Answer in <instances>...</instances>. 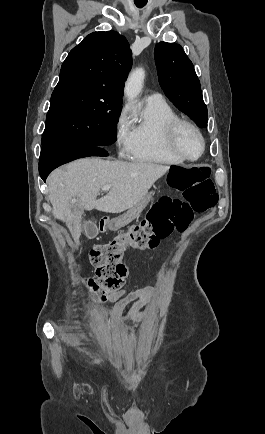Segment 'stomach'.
Masks as SVG:
<instances>
[{
  "label": "stomach",
  "mask_w": 265,
  "mask_h": 434,
  "mask_svg": "<svg viewBox=\"0 0 265 434\" xmlns=\"http://www.w3.org/2000/svg\"><path fill=\"white\" fill-rule=\"evenodd\" d=\"M153 194L154 192H147L146 196H143L142 200H139V202H137L133 208H130L126 214H123L120 220H115L114 224L113 222H110V224L107 226V229L110 232H113L118 230L121 224H128V222L135 220V218L141 214L142 210L146 208L147 204H149Z\"/></svg>",
  "instance_id": "obj_1"
}]
</instances>
